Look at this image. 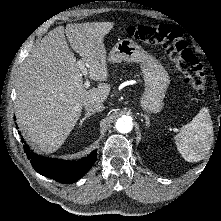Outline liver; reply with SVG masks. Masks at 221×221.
Returning <instances> with one entry per match:
<instances>
[{"mask_svg": "<svg viewBox=\"0 0 221 221\" xmlns=\"http://www.w3.org/2000/svg\"><path fill=\"white\" fill-rule=\"evenodd\" d=\"M113 22H87L58 26L37 44L19 69L16 82L15 115L27 141L44 152L56 151L90 100L104 102L109 84L84 87L78 53L95 81H107L108 67L104 37ZM67 38V40H66Z\"/></svg>", "mask_w": 221, "mask_h": 221, "instance_id": "1", "label": "liver"}]
</instances>
